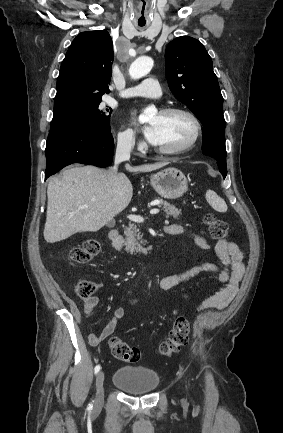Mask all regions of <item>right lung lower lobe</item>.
Wrapping results in <instances>:
<instances>
[{"instance_id": "98d812e1", "label": "right lung lower lobe", "mask_w": 283, "mask_h": 433, "mask_svg": "<svg viewBox=\"0 0 283 433\" xmlns=\"http://www.w3.org/2000/svg\"><path fill=\"white\" fill-rule=\"evenodd\" d=\"M113 150L114 140L111 132L98 126H51L45 151V180L72 163L106 167L112 163Z\"/></svg>"}]
</instances>
